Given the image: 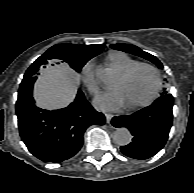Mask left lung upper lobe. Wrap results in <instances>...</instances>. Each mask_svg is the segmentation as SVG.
<instances>
[{
    "label": "left lung upper lobe",
    "instance_id": "5c2ea615",
    "mask_svg": "<svg viewBox=\"0 0 194 193\" xmlns=\"http://www.w3.org/2000/svg\"><path fill=\"white\" fill-rule=\"evenodd\" d=\"M111 47L113 49H116V50H122L124 52L131 53V54L140 56L142 58H145V59L151 61L152 63H154L155 65H157L160 69L163 68V65L155 56H153L147 52L142 51L140 48H138L136 46H133L130 44H112ZM164 94H167V91H164L163 95Z\"/></svg>",
    "mask_w": 194,
    "mask_h": 193
}]
</instances>
